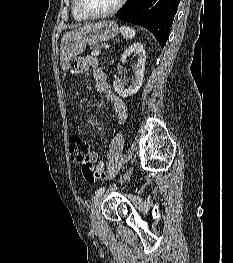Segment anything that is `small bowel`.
<instances>
[{"label": "small bowel", "instance_id": "1", "mask_svg": "<svg viewBox=\"0 0 233 263\" xmlns=\"http://www.w3.org/2000/svg\"><path fill=\"white\" fill-rule=\"evenodd\" d=\"M88 70H92L98 92L104 96L110 111L117 116L119 126H123L127 121V107L124 101L112 90L106 74L98 65V60L92 56H81L73 63L72 73L74 74H82ZM97 159V153L92 152L89 155L88 162L93 167ZM96 168L104 169V163L98 162Z\"/></svg>", "mask_w": 233, "mask_h": 263}]
</instances>
